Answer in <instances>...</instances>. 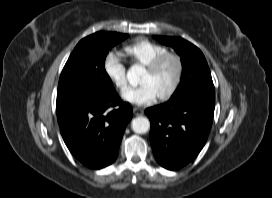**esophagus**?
<instances>
[{"label": "esophagus", "mask_w": 272, "mask_h": 198, "mask_svg": "<svg viewBox=\"0 0 272 198\" xmlns=\"http://www.w3.org/2000/svg\"><path fill=\"white\" fill-rule=\"evenodd\" d=\"M133 113H134L135 116H140V115H143L144 110L141 109V108L135 107V108H133Z\"/></svg>", "instance_id": "esophagus-1"}]
</instances>
